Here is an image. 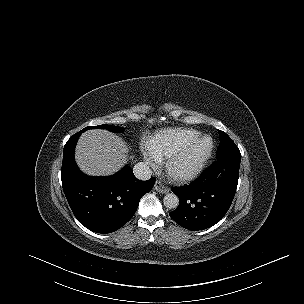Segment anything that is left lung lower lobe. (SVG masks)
I'll list each match as a JSON object with an SVG mask.
<instances>
[{"mask_svg":"<svg viewBox=\"0 0 304 304\" xmlns=\"http://www.w3.org/2000/svg\"><path fill=\"white\" fill-rule=\"evenodd\" d=\"M241 162V154L218 159L195 181L173 188L179 206L170 217L180 226L197 231L219 222L234 198Z\"/></svg>","mask_w":304,"mask_h":304,"instance_id":"1","label":"left lung lower lobe"}]
</instances>
